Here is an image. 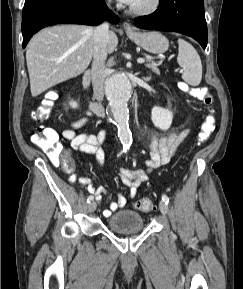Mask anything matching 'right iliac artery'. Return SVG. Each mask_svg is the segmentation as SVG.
<instances>
[{
  "label": "right iliac artery",
  "mask_w": 243,
  "mask_h": 289,
  "mask_svg": "<svg viewBox=\"0 0 243 289\" xmlns=\"http://www.w3.org/2000/svg\"><path fill=\"white\" fill-rule=\"evenodd\" d=\"M93 198H94V197H93L92 195H90V196L87 198V202L90 203V202L93 200Z\"/></svg>",
  "instance_id": "1"
}]
</instances>
